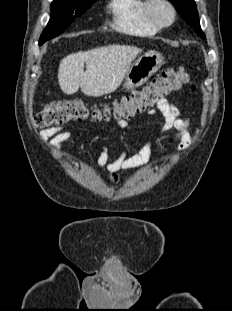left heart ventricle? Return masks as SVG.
I'll list each match as a JSON object with an SVG mask.
<instances>
[{"mask_svg": "<svg viewBox=\"0 0 232 311\" xmlns=\"http://www.w3.org/2000/svg\"><path fill=\"white\" fill-rule=\"evenodd\" d=\"M154 17L160 22H168L171 14L167 6L164 4H157L153 8Z\"/></svg>", "mask_w": 232, "mask_h": 311, "instance_id": "b2bd125f", "label": "left heart ventricle"}]
</instances>
